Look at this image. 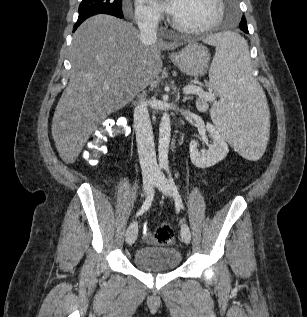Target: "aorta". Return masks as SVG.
<instances>
[{
    "label": "aorta",
    "mask_w": 307,
    "mask_h": 317,
    "mask_svg": "<svg viewBox=\"0 0 307 317\" xmlns=\"http://www.w3.org/2000/svg\"><path fill=\"white\" fill-rule=\"evenodd\" d=\"M171 136V121L168 112H164L161 118L158 140V160L160 166L168 165V152Z\"/></svg>",
    "instance_id": "1"
}]
</instances>
